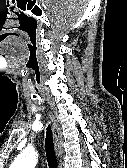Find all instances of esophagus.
I'll list each match as a JSON object with an SVG mask.
<instances>
[{"label": "esophagus", "mask_w": 127, "mask_h": 168, "mask_svg": "<svg viewBox=\"0 0 127 168\" xmlns=\"http://www.w3.org/2000/svg\"><path fill=\"white\" fill-rule=\"evenodd\" d=\"M51 123H52V131L53 137L55 142V150L58 157L62 154V134L61 128L53 115L50 116Z\"/></svg>", "instance_id": "1"}]
</instances>
